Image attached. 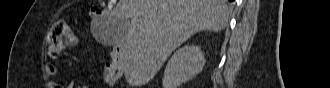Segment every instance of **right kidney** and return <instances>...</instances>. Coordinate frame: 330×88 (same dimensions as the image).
Wrapping results in <instances>:
<instances>
[{
	"instance_id": "obj_1",
	"label": "right kidney",
	"mask_w": 330,
	"mask_h": 88,
	"mask_svg": "<svg viewBox=\"0 0 330 88\" xmlns=\"http://www.w3.org/2000/svg\"><path fill=\"white\" fill-rule=\"evenodd\" d=\"M205 65V57L200 47L186 45L179 48L168 61L164 77V88H179L182 83L197 75Z\"/></svg>"
}]
</instances>
